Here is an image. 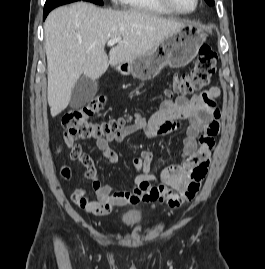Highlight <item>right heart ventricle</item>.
Instances as JSON below:
<instances>
[{"mask_svg": "<svg viewBox=\"0 0 265 269\" xmlns=\"http://www.w3.org/2000/svg\"><path fill=\"white\" fill-rule=\"evenodd\" d=\"M127 9L157 14H172L165 9L157 0H120Z\"/></svg>", "mask_w": 265, "mask_h": 269, "instance_id": "obj_1", "label": "right heart ventricle"}]
</instances>
